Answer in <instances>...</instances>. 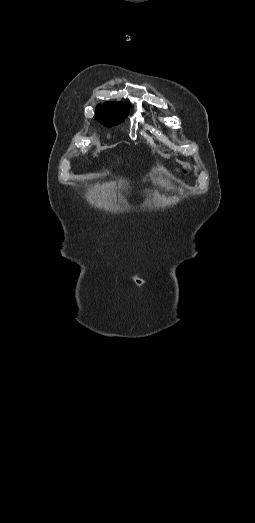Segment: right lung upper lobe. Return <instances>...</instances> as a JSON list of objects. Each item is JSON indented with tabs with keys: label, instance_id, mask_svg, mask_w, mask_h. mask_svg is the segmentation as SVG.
<instances>
[{
	"label": "right lung upper lobe",
	"instance_id": "cb5924a9",
	"mask_svg": "<svg viewBox=\"0 0 255 523\" xmlns=\"http://www.w3.org/2000/svg\"><path fill=\"white\" fill-rule=\"evenodd\" d=\"M105 104H117V103H113V102H106V103H104L103 105H105ZM100 105H101V104H100Z\"/></svg>",
	"mask_w": 255,
	"mask_h": 523
}]
</instances>
